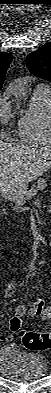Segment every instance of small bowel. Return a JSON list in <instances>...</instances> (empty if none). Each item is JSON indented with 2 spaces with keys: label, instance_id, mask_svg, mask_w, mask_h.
Masks as SVG:
<instances>
[{
  "label": "small bowel",
  "instance_id": "c3829d8e",
  "mask_svg": "<svg viewBox=\"0 0 51 393\" xmlns=\"http://www.w3.org/2000/svg\"><path fill=\"white\" fill-rule=\"evenodd\" d=\"M15 292V287L13 285H9L6 289H5V296L6 297H12V295ZM40 301L41 303H43V306L41 308H35V303ZM29 314L30 316H37V317H41L43 320H47L51 318V308L50 307H46L44 300L42 298H37V300L31 305V307L28 308L23 305L20 304L15 308V316L16 317H23L26 314ZM2 340L5 341L7 340V336H2Z\"/></svg>",
  "mask_w": 51,
  "mask_h": 393
}]
</instances>
